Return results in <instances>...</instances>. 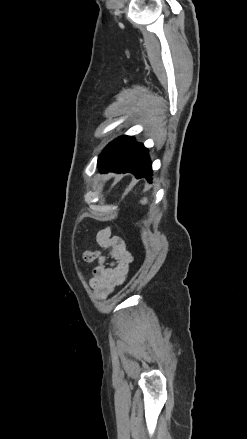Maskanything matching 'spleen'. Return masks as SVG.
I'll use <instances>...</instances> for the list:
<instances>
[{"mask_svg":"<svg viewBox=\"0 0 247 439\" xmlns=\"http://www.w3.org/2000/svg\"><path fill=\"white\" fill-rule=\"evenodd\" d=\"M142 204H146L147 203V198H143V200L140 201Z\"/></svg>","mask_w":247,"mask_h":439,"instance_id":"1","label":"spleen"}]
</instances>
